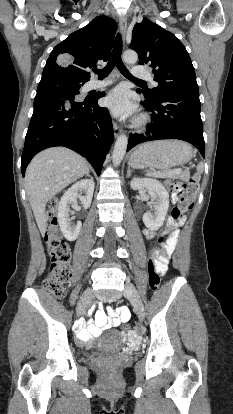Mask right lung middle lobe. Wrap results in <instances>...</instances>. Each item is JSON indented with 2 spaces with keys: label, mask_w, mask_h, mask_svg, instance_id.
Segmentation results:
<instances>
[{
  "label": "right lung middle lobe",
  "mask_w": 233,
  "mask_h": 414,
  "mask_svg": "<svg viewBox=\"0 0 233 414\" xmlns=\"http://www.w3.org/2000/svg\"><path fill=\"white\" fill-rule=\"evenodd\" d=\"M84 82L66 79V78H42L37 93L52 92L56 95H65L75 97L79 95L81 86Z\"/></svg>",
  "instance_id": "dd1d6c3e"
}]
</instances>
